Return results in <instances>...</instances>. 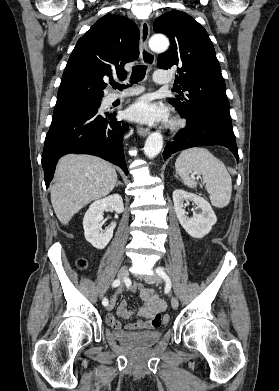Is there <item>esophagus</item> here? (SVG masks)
<instances>
[{
  "instance_id": "1",
  "label": "esophagus",
  "mask_w": 279,
  "mask_h": 391,
  "mask_svg": "<svg viewBox=\"0 0 279 391\" xmlns=\"http://www.w3.org/2000/svg\"><path fill=\"white\" fill-rule=\"evenodd\" d=\"M140 33H141L140 57H141L142 62L145 65L151 67L155 64V55L148 48L150 26L145 20L141 22ZM149 132H150V130L148 128H145L142 126L137 127V133H138V135H140L142 137L147 136L149 134Z\"/></svg>"
}]
</instances>
